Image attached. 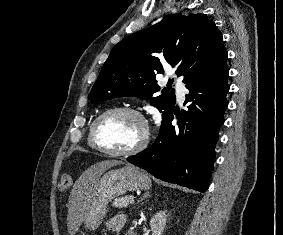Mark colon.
Listing matches in <instances>:
<instances>
[{
    "label": "colon",
    "mask_w": 283,
    "mask_h": 235,
    "mask_svg": "<svg viewBox=\"0 0 283 235\" xmlns=\"http://www.w3.org/2000/svg\"><path fill=\"white\" fill-rule=\"evenodd\" d=\"M72 177L69 173H64L60 178V189L66 190L71 185Z\"/></svg>",
    "instance_id": "obj_1"
}]
</instances>
